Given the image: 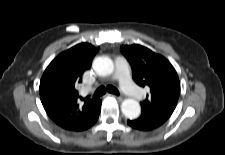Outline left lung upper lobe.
I'll return each instance as SVG.
<instances>
[{
    "label": "left lung upper lobe",
    "instance_id": "5c2ea615",
    "mask_svg": "<svg viewBox=\"0 0 225 155\" xmlns=\"http://www.w3.org/2000/svg\"><path fill=\"white\" fill-rule=\"evenodd\" d=\"M121 51L132 65L135 82L150 88V94L141 103L142 114L138 119L168 120L180 95V82L174 67L163 56L141 45H125Z\"/></svg>",
    "mask_w": 225,
    "mask_h": 155
}]
</instances>
